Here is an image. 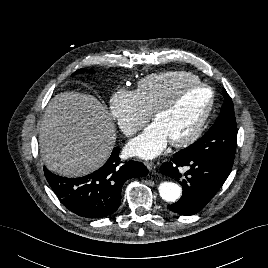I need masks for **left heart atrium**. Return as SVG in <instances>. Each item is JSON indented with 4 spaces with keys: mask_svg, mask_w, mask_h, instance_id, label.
<instances>
[{
    "mask_svg": "<svg viewBox=\"0 0 268 268\" xmlns=\"http://www.w3.org/2000/svg\"><path fill=\"white\" fill-rule=\"evenodd\" d=\"M168 141L162 128L157 123H153L128 143L126 152L130 156L151 159L164 150Z\"/></svg>",
    "mask_w": 268,
    "mask_h": 268,
    "instance_id": "obj_1",
    "label": "left heart atrium"
}]
</instances>
